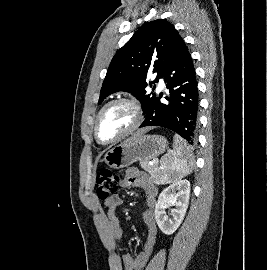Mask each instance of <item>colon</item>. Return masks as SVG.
<instances>
[{"label": "colon", "mask_w": 267, "mask_h": 270, "mask_svg": "<svg viewBox=\"0 0 267 270\" xmlns=\"http://www.w3.org/2000/svg\"><path fill=\"white\" fill-rule=\"evenodd\" d=\"M96 195L100 200H107L114 196L120 187V180L111 170L104 168L96 176Z\"/></svg>", "instance_id": "5ec220e1"}]
</instances>
